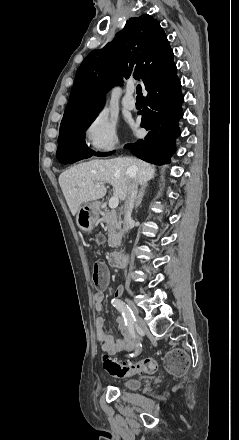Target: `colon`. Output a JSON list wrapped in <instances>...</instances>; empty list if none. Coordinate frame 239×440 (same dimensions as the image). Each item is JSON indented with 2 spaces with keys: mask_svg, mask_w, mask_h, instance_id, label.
<instances>
[{
  "mask_svg": "<svg viewBox=\"0 0 239 440\" xmlns=\"http://www.w3.org/2000/svg\"><path fill=\"white\" fill-rule=\"evenodd\" d=\"M92 279L96 287L102 288L106 285L108 276L105 266L95 262L92 268ZM103 367L112 376L127 377L135 374H150L155 372L157 365L151 358H144L137 362L118 361L105 354L103 356ZM188 367V359L184 352L173 350L166 356L165 368L174 375H182Z\"/></svg>",
  "mask_w": 239,
  "mask_h": 440,
  "instance_id": "colon-1",
  "label": "colon"
}]
</instances>
